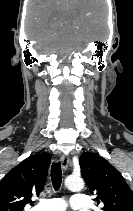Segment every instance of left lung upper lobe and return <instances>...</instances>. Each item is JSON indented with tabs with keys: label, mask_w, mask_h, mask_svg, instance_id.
Returning <instances> with one entry per match:
<instances>
[{
	"label": "left lung upper lobe",
	"mask_w": 133,
	"mask_h": 211,
	"mask_svg": "<svg viewBox=\"0 0 133 211\" xmlns=\"http://www.w3.org/2000/svg\"><path fill=\"white\" fill-rule=\"evenodd\" d=\"M81 175L97 203L104 211H133V191L124 178L106 159L85 152L79 158Z\"/></svg>",
	"instance_id": "obj_1"
}]
</instances>
